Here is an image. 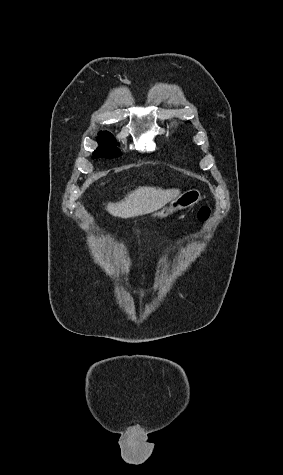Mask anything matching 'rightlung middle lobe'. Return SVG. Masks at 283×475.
<instances>
[{
    "label": "right lung middle lobe",
    "mask_w": 283,
    "mask_h": 475,
    "mask_svg": "<svg viewBox=\"0 0 283 475\" xmlns=\"http://www.w3.org/2000/svg\"><path fill=\"white\" fill-rule=\"evenodd\" d=\"M100 145L93 153L94 158H115L121 155L120 150L115 146L117 143L109 132H100L97 137ZM115 144V145H114Z\"/></svg>",
    "instance_id": "dd1d6c3e"
}]
</instances>
